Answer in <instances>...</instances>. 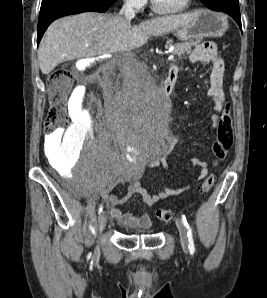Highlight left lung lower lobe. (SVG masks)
<instances>
[{"label":"left lung lower lobe","mask_w":267,"mask_h":298,"mask_svg":"<svg viewBox=\"0 0 267 298\" xmlns=\"http://www.w3.org/2000/svg\"><path fill=\"white\" fill-rule=\"evenodd\" d=\"M215 11H222V12L229 14L241 28V17H240L239 4L235 5V4L231 3L229 5H219Z\"/></svg>","instance_id":"left-lung-lower-lobe-1"}]
</instances>
